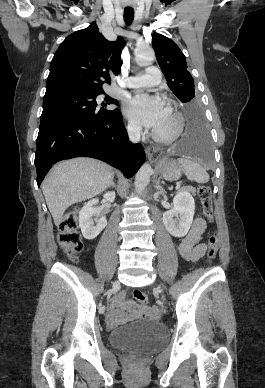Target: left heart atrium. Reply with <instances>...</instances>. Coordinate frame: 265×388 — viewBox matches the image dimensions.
Here are the masks:
<instances>
[{"label":"left heart atrium","mask_w":265,"mask_h":388,"mask_svg":"<svg viewBox=\"0 0 265 388\" xmlns=\"http://www.w3.org/2000/svg\"><path fill=\"white\" fill-rule=\"evenodd\" d=\"M125 114L136 122L157 127L165 118L167 108L159 97L137 94L126 103Z\"/></svg>","instance_id":"39dd6f15"}]
</instances>
